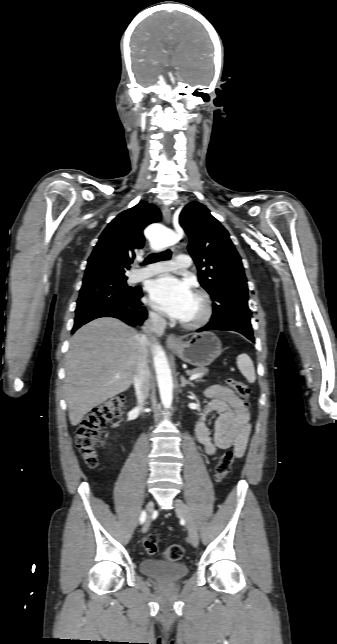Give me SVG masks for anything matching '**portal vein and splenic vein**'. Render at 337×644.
<instances>
[{
    "instance_id": "obj_1",
    "label": "portal vein and splenic vein",
    "mask_w": 337,
    "mask_h": 644,
    "mask_svg": "<svg viewBox=\"0 0 337 644\" xmlns=\"http://www.w3.org/2000/svg\"><path fill=\"white\" fill-rule=\"evenodd\" d=\"M201 376H202L201 374H193V375H191V376L189 377V379H190V380H195V379H197V378H199V377H201ZM119 377H120L119 375H117V376H116V378H119Z\"/></svg>"
}]
</instances>
